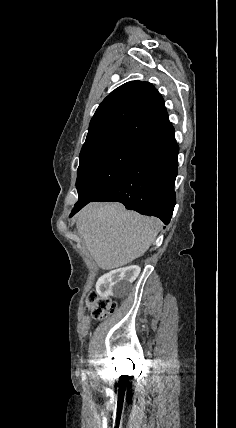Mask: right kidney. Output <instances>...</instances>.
<instances>
[{"label": "right kidney", "instance_id": "obj_1", "mask_svg": "<svg viewBox=\"0 0 236 428\" xmlns=\"http://www.w3.org/2000/svg\"><path fill=\"white\" fill-rule=\"evenodd\" d=\"M140 272L139 266H128V268H119V270L105 269L104 277H101L96 284V290L98 294L100 292H111L114 301H121L123 299L121 292H131V284L138 278ZM101 297L104 298L105 296L102 295Z\"/></svg>", "mask_w": 236, "mask_h": 428}]
</instances>
